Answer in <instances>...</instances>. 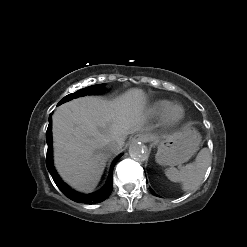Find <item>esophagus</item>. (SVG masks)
<instances>
[{
  "label": "esophagus",
  "mask_w": 247,
  "mask_h": 247,
  "mask_svg": "<svg viewBox=\"0 0 247 247\" xmlns=\"http://www.w3.org/2000/svg\"><path fill=\"white\" fill-rule=\"evenodd\" d=\"M134 141H140L143 143L149 142L152 140V137L148 134H138L133 138Z\"/></svg>",
  "instance_id": "34e87169"
}]
</instances>
